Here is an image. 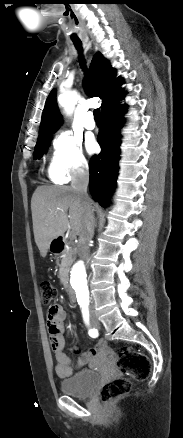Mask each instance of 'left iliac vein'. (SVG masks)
Masks as SVG:
<instances>
[{"mask_svg":"<svg viewBox=\"0 0 183 438\" xmlns=\"http://www.w3.org/2000/svg\"><path fill=\"white\" fill-rule=\"evenodd\" d=\"M94 326H95L96 328H99V327H100V324H99V322H98L97 320L94 321Z\"/></svg>","mask_w":183,"mask_h":438,"instance_id":"1","label":"left iliac vein"}]
</instances>
